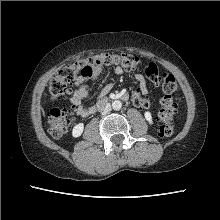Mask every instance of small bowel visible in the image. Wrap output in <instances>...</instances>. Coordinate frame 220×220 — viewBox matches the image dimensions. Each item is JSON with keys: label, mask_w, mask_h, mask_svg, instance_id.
Instances as JSON below:
<instances>
[{"label": "small bowel", "mask_w": 220, "mask_h": 220, "mask_svg": "<svg viewBox=\"0 0 220 220\" xmlns=\"http://www.w3.org/2000/svg\"><path fill=\"white\" fill-rule=\"evenodd\" d=\"M102 72V68H96L90 70L86 75H79L74 81V92L71 97V103L74 107L75 113L81 117H88L89 115L96 112L95 106H84L83 101L92 92L93 88L88 84L89 80L97 78ZM123 69L121 67L115 68V73L118 75L123 74ZM135 78L139 84V90L134 91L131 95L133 103L138 107L147 108L150 106L149 100L145 97L147 94V84L144 77L141 74H136ZM111 89V85H107L102 94H106Z\"/></svg>", "instance_id": "1"}]
</instances>
